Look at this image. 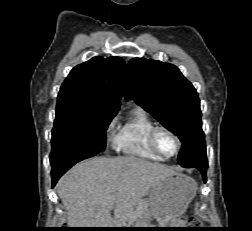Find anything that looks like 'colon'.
<instances>
[{
	"label": "colon",
	"instance_id": "5ec220e1",
	"mask_svg": "<svg viewBox=\"0 0 252 231\" xmlns=\"http://www.w3.org/2000/svg\"><path fill=\"white\" fill-rule=\"evenodd\" d=\"M189 223H191V224H197V223H198V220L195 219V218H191V219L189 220Z\"/></svg>",
	"mask_w": 252,
	"mask_h": 231
}]
</instances>
